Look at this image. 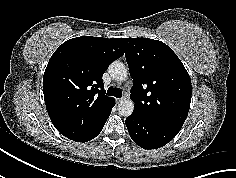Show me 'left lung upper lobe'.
I'll use <instances>...</instances> for the list:
<instances>
[{"instance_id": "5c2ea615", "label": "left lung upper lobe", "mask_w": 236, "mask_h": 178, "mask_svg": "<svg viewBox=\"0 0 236 178\" xmlns=\"http://www.w3.org/2000/svg\"><path fill=\"white\" fill-rule=\"evenodd\" d=\"M133 79L134 112L182 127L190 108L188 72L166 44L149 38H123Z\"/></svg>"}]
</instances>
